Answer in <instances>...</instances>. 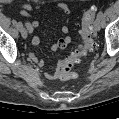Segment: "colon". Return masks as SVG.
I'll return each mask as SVG.
<instances>
[{"label": "colon", "instance_id": "5ec220e1", "mask_svg": "<svg viewBox=\"0 0 119 119\" xmlns=\"http://www.w3.org/2000/svg\"><path fill=\"white\" fill-rule=\"evenodd\" d=\"M96 7L90 6L82 16L79 34L83 44L69 52L67 57L59 63L58 78L61 80H71L77 78V73L72 71V67L80 62L93 47L92 23L96 14Z\"/></svg>", "mask_w": 119, "mask_h": 119}]
</instances>
